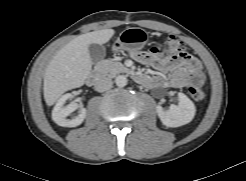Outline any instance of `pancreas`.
Returning <instances> with one entry per match:
<instances>
[{
  "instance_id": "obj_1",
  "label": "pancreas",
  "mask_w": 246,
  "mask_h": 181,
  "mask_svg": "<svg viewBox=\"0 0 246 181\" xmlns=\"http://www.w3.org/2000/svg\"><path fill=\"white\" fill-rule=\"evenodd\" d=\"M98 70L102 74L108 76H115L119 73L128 71V69L121 62L109 60V59L101 61L98 66Z\"/></svg>"
}]
</instances>
